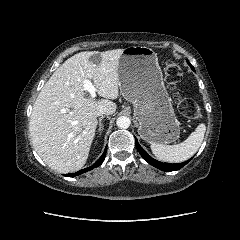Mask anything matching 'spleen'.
Returning <instances> with one entry per match:
<instances>
[{"label": "spleen", "mask_w": 240, "mask_h": 240, "mask_svg": "<svg viewBox=\"0 0 240 240\" xmlns=\"http://www.w3.org/2000/svg\"><path fill=\"white\" fill-rule=\"evenodd\" d=\"M205 131V124H199L195 131L182 143L176 145L153 143L150 146L151 151L159 160L170 163L183 162L198 151L204 139Z\"/></svg>", "instance_id": "spleen-1"}]
</instances>
